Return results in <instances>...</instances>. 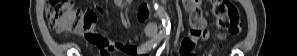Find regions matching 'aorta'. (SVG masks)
<instances>
[{
  "label": "aorta",
  "instance_id": "1",
  "mask_svg": "<svg viewBox=\"0 0 297 56\" xmlns=\"http://www.w3.org/2000/svg\"><path fill=\"white\" fill-rule=\"evenodd\" d=\"M155 11H156V15L159 17V19L162 22L163 32L169 33L171 30V23L166 11L164 10L163 7L157 4L155 5Z\"/></svg>",
  "mask_w": 297,
  "mask_h": 56
}]
</instances>
